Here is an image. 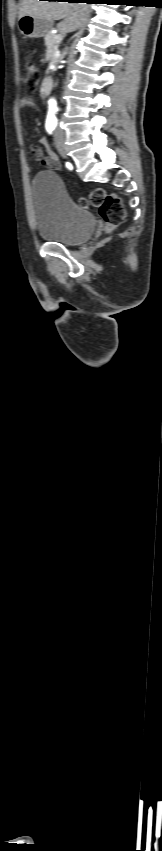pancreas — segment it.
<instances>
[{
    "mask_svg": "<svg viewBox=\"0 0 162 851\" xmlns=\"http://www.w3.org/2000/svg\"><path fill=\"white\" fill-rule=\"evenodd\" d=\"M56 37L57 35L53 34L52 32H48L45 36V45L50 50L53 60H55L53 55L57 51L58 45L60 43V40H57Z\"/></svg>",
    "mask_w": 162,
    "mask_h": 851,
    "instance_id": "1",
    "label": "pancreas"
}]
</instances>
